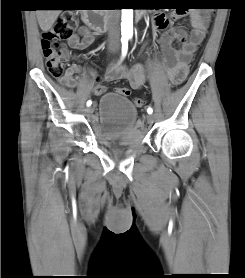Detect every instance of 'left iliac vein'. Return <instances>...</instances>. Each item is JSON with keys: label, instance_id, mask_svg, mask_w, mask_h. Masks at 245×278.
Returning a JSON list of instances; mask_svg holds the SVG:
<instances>
[{"label": "left iliac vein", "instance_id": "obj_1", "mask_svg": "<svg viewBox=\"0 0 245 278\" xmlns=\"http://www.w3.org/2000/svg\"><path fill=\"white\" fill-rule=\"evenodd\" d=\"M155 117L152 114H148L146 116V120L148 124H152L154 122Z\"/></svg>", "mask_w": 245, "mask_h": 278}]
</instances>
